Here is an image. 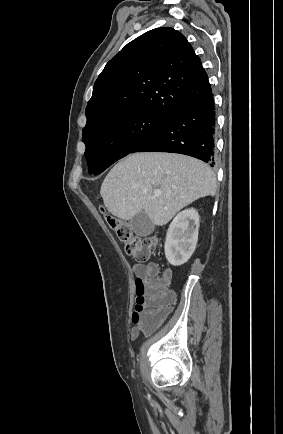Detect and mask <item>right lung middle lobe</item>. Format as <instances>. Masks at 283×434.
<instances>
[{"mask_svg": "<svg viewBox=\"0 0 283 434\" xmlns=\"http://www.w3.org/2000/svg\"><path fill=\"white\" fill-rule=\"evenodd\" d=\"M170 116L136 111L107 119L83 130L85 157L90 174H100L162 126Z\"/></svg>", "mask_w": 283, "mask_h": 434, "instance_id": "dd1d6c3e", "label": "right lung middle lobe"}]
</instances>
